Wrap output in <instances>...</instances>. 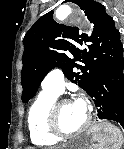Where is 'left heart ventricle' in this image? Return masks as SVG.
<instances>
[{
	"label": "left heart ventricle",
	"instance_id": "1",
	"mask_svg": "<svg viewBox=\"0 0 124 149\" xmlns=\"http://www.w3.org/2000/svg\"><path fill=\"white\" fill-rule=\"evenodd\" d=\"M88 110L81 108L73 101L61 105L59 110L60 126L65 131H74L85 122Z\"/></svg>",
	"mask_w": 124,
	"mask_h": 149
}]
</instances>
